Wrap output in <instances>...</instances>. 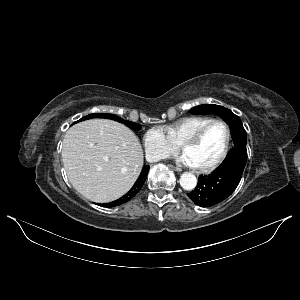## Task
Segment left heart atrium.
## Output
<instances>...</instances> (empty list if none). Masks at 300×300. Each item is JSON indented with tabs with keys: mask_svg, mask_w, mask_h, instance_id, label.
I'll return each instance as SVG.
<instances>
[{
	"mask_svg": "<svg viewBox=\"0 0 300 300\" xmlns=\"http://www.w3.org/2000/svg\"><path fill=\"white\" fill-rule=\"evenodd\" d=\"M180 162H182L183 164L188 165V166H194L191 159L186 154H183L180 157Z\"/></svg>",
	"mask_w": 300,
	"mask_h": 300,
	"instance_id": "obj_1",
	"label": "left heart atrium"
}]
</instances>
